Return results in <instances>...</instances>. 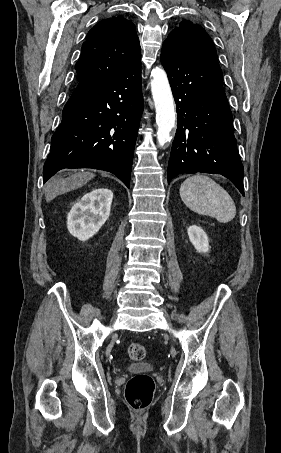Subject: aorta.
I'll return each mask as SVG.
<instances>
[{
	"label": "aorta",
	"mask_w": 281,
	"mask_h": 453,
	"mask_svg": "<svg viewBox=\"0 0 281 453\" xmlns=\"http://www.w3.org/2000/svg\"><path fill=\"white\" fill-rule=\"evenodd\" d=\"M151 91L156 109L158 125L157 140L160 146L171 140L175 127L176 111L174 98L164 69L156 67L151 72Z\"/></svg>",
	"instance_id": "1"
}]
</instances>
